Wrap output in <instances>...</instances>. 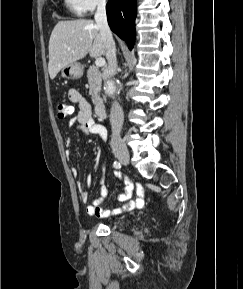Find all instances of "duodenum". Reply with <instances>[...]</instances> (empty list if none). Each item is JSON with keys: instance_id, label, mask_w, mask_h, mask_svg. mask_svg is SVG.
Here are the masks:
<instances>
[{"instance_id": "duodenum-1", "label": "duodenum", "mask_w": 243, "mask_h": 289, "mask_svg": "<svg viewBox=\"0 0 243 289\" xmlns=\"http://www.w3.org/2000/svg\"><path fill=\"white\" fill-rule=\"evenodd\" d=\"M95 113L99 118H105L107 116L106 107L101 100L95 101Z\"/></svg>"}]
</instances>
